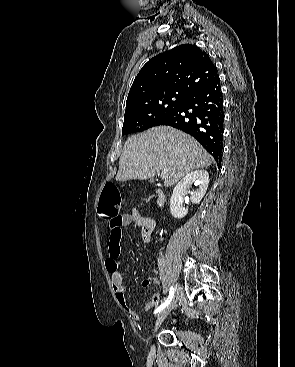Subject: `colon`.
<instances>
[{
    "label": "colon",
    "instance_id": "colon-1",
    "mask_svg": "<svg viewBox=\"0 0 295 367\" xmlns=\"http://www.w3.org/2000/svg\"><path fill=\"white\" fill-rule=\"evenodd\" d=\"M124 206V199L117 186L113 183L105 184L100 200V211L103 218L109 221L119 220Z\"/></svg>",
    "mask_w": 295,
    "mask_h": 367
}]
</instances>
